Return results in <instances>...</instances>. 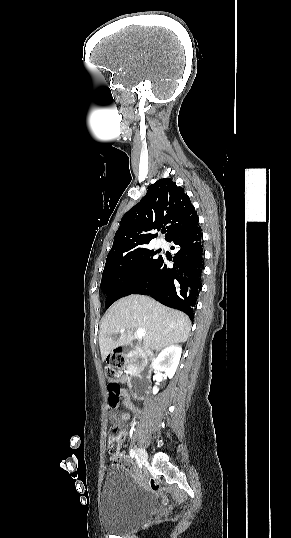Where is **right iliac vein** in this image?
<instances>
[{"instance_id": "right-iliac-vein-1", "label": "right iliac vein", "mask_w": 291, "mask_h": 538, "mask_svg": "<svg viewBox=\"0 0 291 538\" xmlns=\"http://www.w3.org/2000/svg\"><path fill=\"white\" fill-rule=\"evenodd\" d=\"M137 457H138L140 462L144 463L148 459V454H147L146 450L141 447L137 451Z\"/></svg>"}]
</instances>
